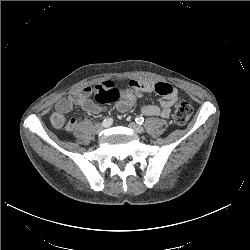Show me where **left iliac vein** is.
I'll list each match as a JSON object with an SVG mask.
<instances>
[{
  "mask_svg": "<svg viewBox=\"0 0 250 250\" xmlns=\"http://www.w3.org/2000/svg\"><path fill=\"white\" fill-rule=\"evenodd\" d=\"M128 126L138 134H142L144 132V128L134 122L129 123Z\"/></svg>",
  "mask_w": 250,
  "mask_h": 250,
  "instance_id": "4c4485c4",
  "label": "left iliac vein"
}]
</instances>
